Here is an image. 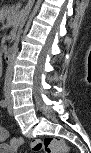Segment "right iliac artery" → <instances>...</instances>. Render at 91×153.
<instances>
[{
    "label": "right iliac artery",
    "mask_w": 91,
    "mask_h": 153,
    "mask_svg": "<svg viewBox=\"0 0 91 153\" xmlns=\"http://www.w3.org/2000/svg\"><path fill=\"white\" fill-rule=\"evenodd\" d=\"M0 106L5 108L7 106V100L5 98H3L1 101H0Z\"/></svg>",
    "instance_id": "obj_1"
}]
</instances>
